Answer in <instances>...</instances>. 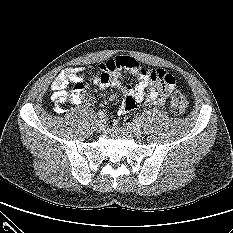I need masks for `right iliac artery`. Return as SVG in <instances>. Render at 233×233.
Returning a JSON list of instances; mask_svg holds the SVG:
<instances>
[{
  "label": "right iliac artery",
  "mask_w": 233,
  "mask_h": 233,
  "mask_svg": "<svg viewBox=\"0 0 233 233\" xmlns=\"http://www.w3.org/2000/svg\"><path fill=\"white\" fill-rule=\"evenodd\" d=\"M97 115H98V118H99V119H103V118L105 117V113L102 112V111L99 112Z\"/></svg>",
  "instance_id": "1"
}]
</instances>
